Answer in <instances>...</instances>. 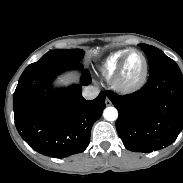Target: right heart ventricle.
<instances>
[{"instance_id":"e07e8e85","label":"right heart ventricle","mask_w":183,"mask_h":183,"mask_svg":"<svg viewBox=\"0 0 183 183\" xmlns=\"http://www.w3.org/2000/svg\"><path fill=\"white\" fill-rule=\"evenodd\" d=\"M128 52V50H119L111 53L102 63L101 71L106 77H111L117 66L119 65L121 59Z\"/></svg>"}]
</instances>
